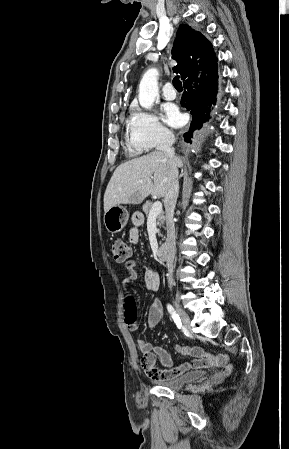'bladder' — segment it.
<instances>
[{
  "instance_id": "31cf9c89",
  "label": "bladder",
  "mask_w": 289,
  "mask_h": 449,
  "mask_svg": "<svg viewBox=\"0 0 289 449\" xmlns=\"http://www.w3.org/2000/svg\"><path fill=\"white\" fill-rule=\"evenodd\" d=\"M206 372L202 370L190 371L179 377L166 379V380H155V383L161 387L170 390H182L189 385L196 383L203 378H205Z\"/></svg>"
}]
</instances>
